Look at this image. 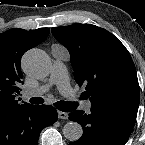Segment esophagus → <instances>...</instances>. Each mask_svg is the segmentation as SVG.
Segmentation results:
<instances>
[{
    "label": "esophagus",
    "instance_id": "esophagus-1",
    "mask_svg": "<svg viewBox=\"0 0 145 145\" xmlns=\"http://www.w3.org/2000/svg\"><path fill=\"white\" fill-rule=\"evenodd\" d=\"M58 117H59V119H68V113L58 111Z\"/></svg>",
    "mask_w": 145,
    "mask_h": 145
}]
</instances>
